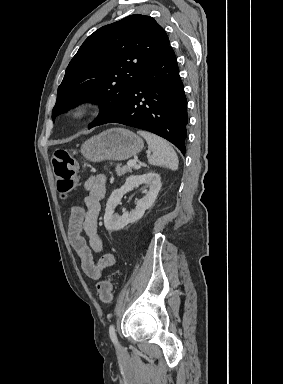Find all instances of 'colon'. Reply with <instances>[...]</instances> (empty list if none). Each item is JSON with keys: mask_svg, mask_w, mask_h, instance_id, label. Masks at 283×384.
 Segmentation results:
<instances>
[{"mask_svg": "<svg viewBox=\"0 0 283 384\" xmlns=\"http://www.w3.org/2000/svg\"><path fill=\"white\" fill-rule=\"evenodd\" d=\"M56 185L62 195L68 194L75 185L76 160L73 152L66 149H58L52 155ZM98 296L103 303H109L113 295L112 278L100 281L97 285Z\"/></svg>", "mask_w": 283, "mask_h": 384, "instance_id": "obj_1", "label": "colon"}]
</instances>
